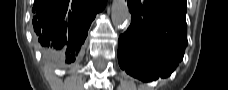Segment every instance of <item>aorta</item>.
I'll return each mask as SVG.
<instances>
[{"mask_svg": "<svg viewBox=\"0 0 228 90\" xmlns=\"http://www.w3.org/2000/svg\"><path fill=\"white\" fill-rule=\"evenodd\" d=\"M130 20V13L125 0H113L112 3V22L118 28H124Z\"/></svg>", "mask_w": 228, "mask_h": 90, "instance_id": "762f6f07", "label": "aorta"}]
</instances>
